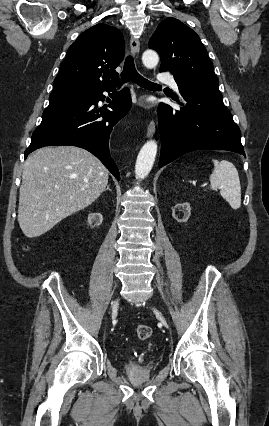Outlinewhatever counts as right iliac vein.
<instances>
[{
  "label": "right iliac vein",
  "instance_id": "63e3f726",
  "mask_svg": "<svg viewBox=\"0 0 269 426\" xmlns=\"http://www.w3.org/2000/svg\"><path fill=\"white\" fill-rule=\"evenodd\" d=\"M120 299L117 298L112 305V315H115L119 306Z\"/></svg>",
  "mask_w": 269,
  "mask_h": 426
}]
</instances>
